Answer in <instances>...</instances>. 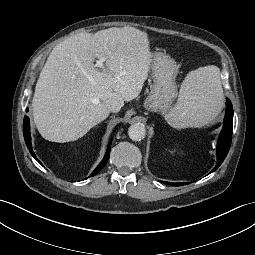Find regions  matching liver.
Here are the masks:
<instances>
[{"label": "liver", "instance_id": "obj_1", "mask_svg": "<svg viewBox=\"0 0 255 255\" xmlns=\"http://www.w3.org/2000/svg\"><path fill=\"white\" fill-rule=\"evenodd\" d=\"M148 34L134 27L79 33L56 45L37 81L34 123L43 138L69 142L105 120L107 100L135 99L152 61ZM105 58V69L94 64Z\"/></svg>", "mask_w": 255, "mask_h": 255}]
</instances>
